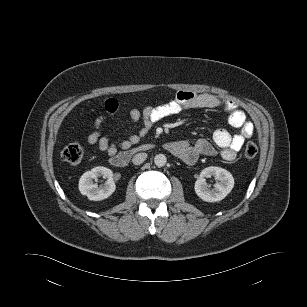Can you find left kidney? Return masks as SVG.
<instances>
[{
  "mask_svg": "<svg viewBox=\"0 0 307 307\" xmlns=\"http://www.w3.org/2000/svg\"><path fill=\"white\" fill-rule=\"evenodd\" d=\"M206 178L214 177L218 182L214 188L209 189ZM234 187L232 174L221 167L210 166L202 170L199 178L195 182L196 194L206 202H218L224 199Z\"/></svg>",
  "mask_w": 307,
  "mask_h": 307,
  "instance_id": "left-kidney-1",
  "label": "left kidney"
}]
</instances>
